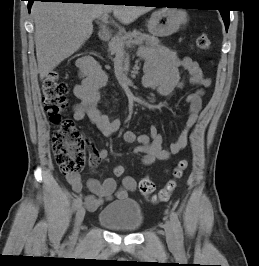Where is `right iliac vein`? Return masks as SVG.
Wrapping results in <instances>:
<instances>
[{
	"mask_svg": "<svg viewBox=\"0 0 259 266\" xmlns=\"http://www.w3.org/2000/svg\"><path fill=\"white\" fill-rule=\"evenodd\" d=\"M85 208L83 206H81L76 213L75 216V225H74V230L71 236V240L72 241H76L79 235V231H80V226L84 220L85 217Z\"/></svg>",
	"mask_w": 259,
	"mask_h": 266,
	"instance_id": "obj_1",
	"label": "right iliac vein"
}]
</instances>
